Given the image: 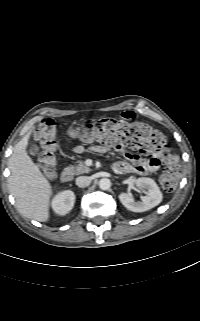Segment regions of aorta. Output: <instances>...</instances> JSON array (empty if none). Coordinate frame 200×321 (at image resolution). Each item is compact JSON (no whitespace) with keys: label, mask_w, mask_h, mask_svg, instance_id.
I'll use <instances>...</instances> for the list:
<instances>
[{"label":"aorta","mask_w":200,"mask_h":321,"mask_svg":"<svg viewBox=\"0 0 200 321\" xmlns=\"http://www.w3.org/2000/svg\"><path fill=\"white\" fill-rule=\"evenodd\" d=\"M99 187L102 190H108L111 187V181L108 178H102L99 181Z\"/></svg>","instance_id":"1"}]
</instances>
